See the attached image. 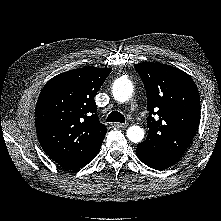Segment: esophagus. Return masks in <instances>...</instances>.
Returning <instances> with one entry per match:
<instances>
[{
  "label": "esophagus",
  "mask_w": 221,
  "mask_h": 221,
  "mask_svg": "<svg viewBox=\"0 0 221 221\" xmlns=\"http://www.w3.org/2000/svg\"><path fill=\"white\" fill-rule=\"evenodd\" d=\"M114 126L116 128H126L128 126V123H115Z\"/></svg>",
  "instance_id": "1"
}]
</instances>
